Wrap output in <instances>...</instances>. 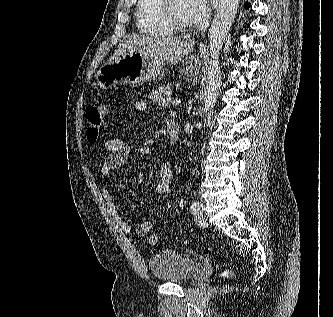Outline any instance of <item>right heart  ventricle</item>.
Wrapping results in <instances>:
<instances>
[{"instance_id": "1", "label": "right heart ventricle", "mask_w": 333, "mask_h": 317, "mask_svg": "<svg viewBox=\"0 0 333 317\" xmlns=\"http://www.w3.org/2000/svg\"><path fill=\"white\" fill-rule=\"evenodd\" d=\"M135 18L138 30L147 36L166 38L173 35L160 17L159 0H138Z\"/></svg>"}]
</instances>
